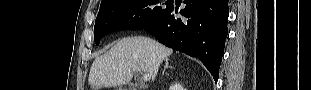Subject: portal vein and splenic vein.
I'll use <instances>...</instances> for the list:
<instances>
[{
	"instance_id": "obj_1",
	"label": "portal vein and splenic vein",
	"mask_w": 311,
	"mask_h": 90,
	"mask_svg": "<svg viewBox=\"0 0 311 90\" xmlns=\"http://www.w3.org/2000/svg\"><path fill=\"white\" fill-rule=\"evenodd\" d=\"M139 74L142 75L144 81H149L151 79V76L148 73H143L142 71H139Z\"/></svg>"
}]
</instances>
